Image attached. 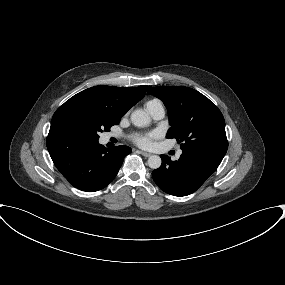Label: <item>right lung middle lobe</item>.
<instances>
[{
  "label": "right lung middle lobe",
  "mask_w": 285,
  "mask_h": 285,
  "mask_svg": "<svg viewBox=\"0 0 285 285\" xmlns=\"http://www.w3.org/2000/svg\"><path fill=\"white\" fill-rule=\"evenodd\" d=\"M55 122L57 126L74 131L88 140L98 141V134L118 125L120 118L103 110L84 109L62 112L56 116Z\"/></svg>",
  "instance_id": "obj_1"
}]
</instances>
